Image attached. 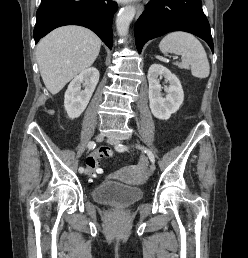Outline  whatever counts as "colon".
Returning <instances> with one entry per match:
<instances>
[{
  "label": "colon",
  "instance_id": "obj_1",
  "mask_svg": "<svg viewBox=\"0 0 248 258\" xmlns=\"http://www.w3.org/2000/svg\"><path fill=\"white\" fill-rule=\"evenodd\" d=\"M110 150L111 147L108 144H99L96 151H93L91 155L87 156L85 159L87 179H96V175H99V171H101L100 157H112L113 153Z\"/></svg>",
  "mask_w": 248,
  "mask_h": 258
}]
</instances>
